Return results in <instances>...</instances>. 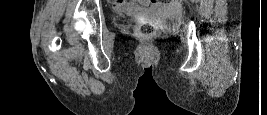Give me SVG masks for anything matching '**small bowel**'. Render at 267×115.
Returning <instances> with one entry per match:
<instances>
[{
    "label": "small bowel",
    "mask_w": 267,
    "mask_h": 115,
    "mask_svg": "<svg viewBox=\"0 0 267 115\" xmlns=\"http://www.w3.org/2000/svg\"><path fill=\"white\" fill-rule=\"evenodd\" d=\"M112 5L117 12L132 16H143L149 12H161L166 10L175 12L179 8L177 3H172L169 7L161 3H155L150 6L149 1L132 2L116 0L113 1Z\"/></svg>",
    "instance_id": "obj_1"
}]
</instances>
